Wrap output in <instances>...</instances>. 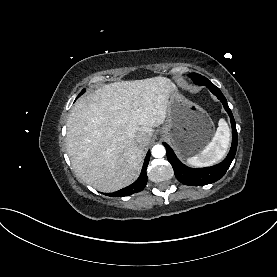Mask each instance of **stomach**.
Listing matches in <instances>:
<instances>
[{"label": "stomach", "mask_w": 277, "mask_h": 277, "mask_svg": "<svg viewBox=\"0 0 277 277\" xmlns=\"http://www.w3.org/2000/svg\"><path fill=\"white\" fill-rule=\"evenodd\" d=\"M166 115L160 134L181 156L199 154L213 139L215 128L209 114L177 91L167 99Z\"/></svg>", "instance_id": "0dacf381"}]
</instances>
